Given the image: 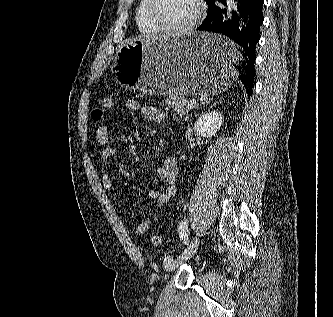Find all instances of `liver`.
<instances>
[{"label":"liver","mask_w":333,"mask_h":317,"mask_svg":"<svg viewBox=\"0 0 333 317\" xmlns=\"http://www.w3.org/2000/svg\"><path fill=\"white\" fill-rule=\"evenodd\" d=\"M164 36H168V35H161V36H154V37H149V36H139V37H136V38H134V39H137V40H143V39H150V38L164 37Z\"/></svg>","instance_id":"6515ba94"}]
</instances>
